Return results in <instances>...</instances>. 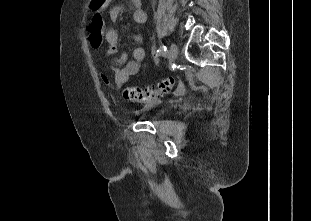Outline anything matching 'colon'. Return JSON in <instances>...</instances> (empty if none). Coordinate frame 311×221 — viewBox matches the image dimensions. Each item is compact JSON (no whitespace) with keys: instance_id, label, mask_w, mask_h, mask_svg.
<instances>
[{"instance_id":"obj_1","label":"colon","mask_w":311,"mask_h":221,"mask_svg":"<svg viewBox=\"0 0 311 221\" xmlns=\"http://www.w3.org/2000/svg\"><path fill=\"white\" fill-rule=\"evenodd\" d=\"M88 34L91 46L99 47L104 36V22L101 14H96L91 20ZM175 84L176 80L173 77H168L153 86L123 88L121 94L125 100L151 104L158 98L171 93Z\"/></svg>"}]
</instances>
